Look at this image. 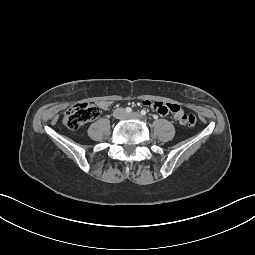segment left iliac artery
Returning <instances> with one entry per match:
<instances>
[{
	"label": "left iliac artery",
	"mask_w": 255,
	"mask_h": 255,
	"mask_svg": "<svg viewBox=\"0 0 255 255\" xmlns=\"http://www.w3.org/2000/svg\"><path fill=\"white\" fill-rule=\"evenodd\" d=\"M147 114L146 110H141V115L145 116Z\"/></svg>",
	"instance_id": "44dca946"
}]
</instances>
